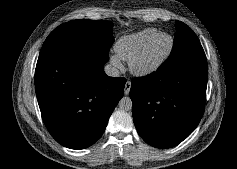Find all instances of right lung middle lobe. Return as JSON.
<instances>
[{
  "label": "right lung middle lobe",
  "instance_id": "1",
  "mask_svg": "<svg viewBox=\"0 0 237 169\" xmlns=\"http://www.w3.org/2000/svg\"><path fill=\"white\" fill-rule=\"evenodd\" d=\"M114 42L112 24L104 20H73L58 26L45 40L42 48L88 45L109 51Z\"/></svg>",
  "mask_w": 237,
  "mask_h": 169
}]
</instances>
